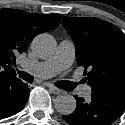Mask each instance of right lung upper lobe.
I'll use <instances>...</instances> for the list:
<instances>
[{"mask_svg": "<svg viewBox=\"0 0 125 125\" xmlns=\"http://www.w3.org/2000/svg\"><path fill=\"white\" fill-rule=\"evenodd\" d=\"M60 14H35L0 9V81L16 77L15 55L27 51L33 38L60 24Z\"/></svg>", "mask_w": 125, "mask_h": 125, "instance_id": "cb5924a9", "label": "right lung upper lobe"}]
</instances>
